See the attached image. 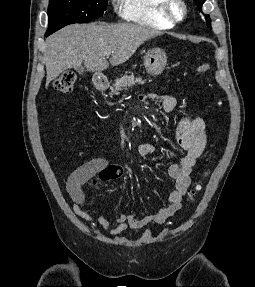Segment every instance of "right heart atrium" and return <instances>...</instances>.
Instances as JSON below:
<instances>
[{"label": "right heart atrium", "mask_w": 255, "mask_h": 287, "mask_svg": "<svg viewBox=\"0 0 255 287\" xmlns=\"http://www.w3.org/2000/svg\"><path fill=\"white\" fill-rule=\"evenodd\" d=\"M107 48H123V47H107Z\"/></svg>", "instance_id": "d8ad5b80"}]
</instances>
